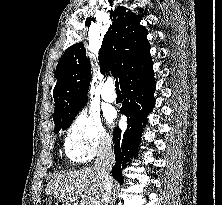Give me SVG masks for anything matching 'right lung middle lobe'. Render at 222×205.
Returning a JSON list of instances; mask_svg holds the SVG:
<instances>
[{"label": "right lung middle lobe", "instance_id": "dd1d6c3e", "mask_svg": "<svg viewBox=\"0 0 222 205\" xmlns=\"http://www.w3.org/2000/svg\"><path fill=\"white\" fill-rule=\"evenodd\" d=\"M76 115L77 114L67 117V118H64V119H61V120L54 121L55 132L57 133L60 129L65 130L66 128H68L72 124V121Z\"/></svg>", "mask_w": 222, "mask_h": 205}]
</instances>
